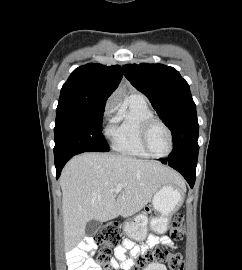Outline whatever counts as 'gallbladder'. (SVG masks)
<instances>
[{"mask_svg":"<svg viewBox=\"0 0 242 270\" xmlns=\"http://www.w3.org/2000/svg\"><path fill=\"white\" fill-rule=\"evenodd\" d=\"M100 221L92 219L86 224V234L94 235L100 228Z\"/></svg>","mask_w":242,"mask_h":270,"instance_id":"gallbladder-1","label":"gallbladder"}]
</instances>
